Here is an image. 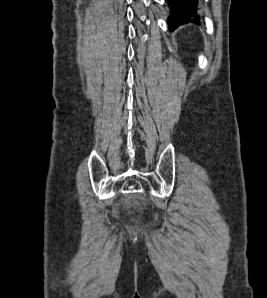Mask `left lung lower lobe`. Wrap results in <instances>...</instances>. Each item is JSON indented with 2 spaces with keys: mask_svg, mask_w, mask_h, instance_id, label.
Instances as JSON below:
<instances>
[{
  "mask_svg": "<svg viewBox=\"0 0 267 298\" xmlns=\"http://www.w3.org/2000/svg\"><path fill=\"white\" fill-rule=\"evenodd\" d=\"M171 8L172 15L168 19L170 30L173 31L179 25L191 22H199L197 16V0H166Z\"/></svg>",
  "mask_w": 267,
  "mask_h": 298,
  "instance_id": "obj_1",
  "label": "left lung lower lobe"
}]
</instances>
